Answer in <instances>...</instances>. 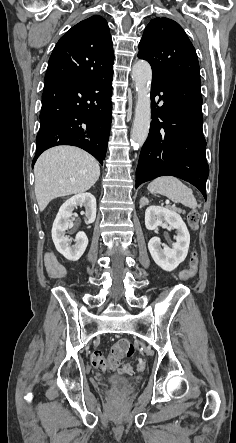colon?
Wrapping results in <instances>:
<instances>
[{
	"label": "colon",
	"instance_id": "5ec220e1",
	"mask_svg": "<svg viewBox=\"0 0 236 443\" xmlns=\"http://www.w3.org/2000/svg\"><path fill=\"white\" fill-rule=\"evenodd\" d=\"M199 221V213L197 210H192L188 214V223L192 229H196ZM198 269V256L193 253L189 260V267L183 270L179 278L181 280H188L195 276ZM134 354V346L132 342L126 338L118 339L114 342L111 352L108 356H105L102 352L96 351L91 356V362L94 368L97 370H125L129 371L128 364L125 360L130 358ZM146 369L144 362L139 361L137 364V370L143 372Z\"/></svg>",
	"mask_w": 236,
	"mask_h": 443
}]
</instances>
